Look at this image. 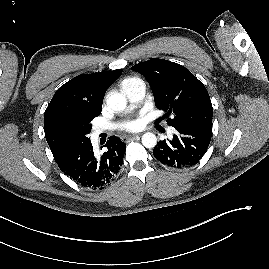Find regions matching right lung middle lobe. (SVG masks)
<instances>
[{"label": "right lung middle lobe", "instance_id": "dd1d6c3e", "mask_svg": "<svg viewBox=\"0 0 269 269\" xmlns=\"http://www.w3.org/2000/svg\"><path fill=\"white\" fill-rule=\"evenodd\" d=\"M93 119L65 117L57 121L51 128L47 142L54 157L62 156L71 150L90 142L88 134Z\"/></svg>", "mask_w": 269, "mask_h": 269}]
</instances>
